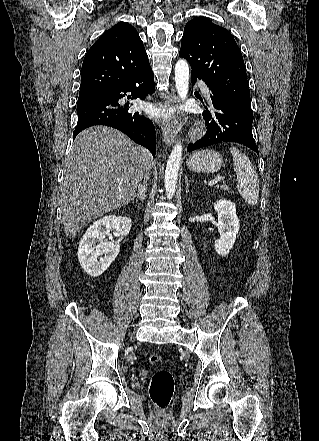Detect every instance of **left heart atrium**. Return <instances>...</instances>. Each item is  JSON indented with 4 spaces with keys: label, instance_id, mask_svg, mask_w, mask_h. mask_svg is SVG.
Here are the masks:
<instances>
[{
    "label": "left heart atrium",
    "instance_id": "1",
    "mask_svg": "<svg viewBox=\"0 0 319 441\" xmlns=\"http://www.w3.org/2000/svg\"><path fill=\"white\" fill-rule=\"evenodd\" d=\"M148 111H149L151 114H158V113L161 112L159 108L154 107V106H149V107H148Z\"/></svg>",
    "mask_w": 319,
    "mask_h": 441
}]
</instances>
